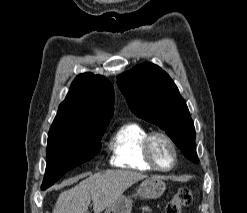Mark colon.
I'll use <instances>...</instances> for the list:
<instances>
[{
	"label": "colon",
	"mask_w": 247,
	"mask_h": 213,
	"mask_svg": "<svg viewBox=\"0 0 247 213\" xmlns=\"http://www.w3.org/2000/svg\"><path fill=\"white\" fill-rule=\"evenodd\" d=\"M192 203V194L189 189H180L167 203L166 213H183Z\"/></svg>",
	"instance_id": "colon-1"
}]
</instances>
